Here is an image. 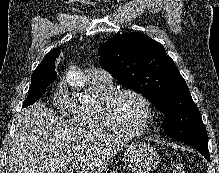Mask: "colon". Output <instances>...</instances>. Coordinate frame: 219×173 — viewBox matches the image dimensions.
Masks as SVG:
<instances>
[{"mask_svg": "<svg viewBox=\"0 0 219 173\" xmlns=\"http://www.w3.org/2000/svg\"><path fill=\"white\" fill-rule=\"evenodd\" d=\"M172 173H186V168L181 163L174 164L172 168Z\"/></svg>", "mask_w": 219, "mask_h": 173, "instance_id": "obj_1", "label": "colon"}]
</instances>
